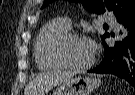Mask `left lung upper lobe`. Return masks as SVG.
Segmentation results:
<instances>
[{
    "label": "left lung upper lobe",
    "instance_id": "1",
    "mask_svg": "<svg viewBox=\"0 0 135 95\" xmlns=\"http://www.w3.org/2000/svg\"><path fill=\"white\" fill-rule=\"evenodd\" d=\"M54 0H45L42 8ZM82 2L88 9L93 10L95 13H113L118 20L123 19L135 10V0H70ZM108 35L106 32L102 39Z\"/></svg>",
    "mask_w": 135,
    "mask_h": 95
}]
</instances>
